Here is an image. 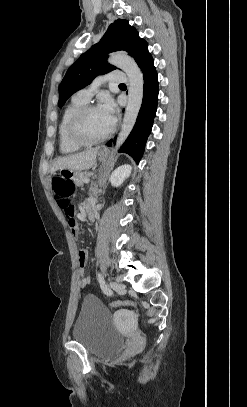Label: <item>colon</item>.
I'll use <instances>...</instances> for the list:
<instances>
[{
    "label": "colon",
    "instance_id": "colon-1",
    "mask_svg": "<svg viewBox=\"0 0 247 407\" xmlns=\"http://www.w3.org/2000/svg\"><path fill=\"white\" fill-rule=\"evenodd\" d=\"M52 190L54 192V197L57 204L60 207H64L69 203L72 195L74 194L75 187L71 181L66 180L64 177L55 176L52 179ZM111 306L113 307L124 306L134 309L136 308V303L131 300H124L112 302Z\"/></svg>",
    "mask_w": 247,
    "mask_h": 407
}]
</instances>
